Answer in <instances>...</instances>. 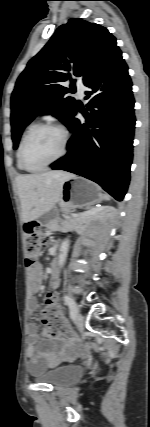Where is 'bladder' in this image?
Instances as JSON below:
<instances>
[{
    "mask_svg": "<svg viewBox=\"0 0 150 427\" xmlns=\"http://www.w3.org/2000/svg\"><path fill=\"white\" fill-rule=\"evenodd\" d=\"M82 374V369L76 365L56 367L36 377L37 381L47 383L55 388L66 386L77 380Z\"/></svg>",
    "mask_w": 150,
    "mask_h": 427,
    "instance_id": "1",
    "label": "bladder"
}]
</instances>
